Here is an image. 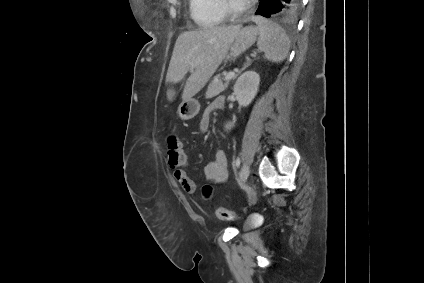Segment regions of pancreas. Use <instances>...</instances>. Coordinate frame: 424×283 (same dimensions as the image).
I'll return each mask as SVG.
<instances>
[{"label":"pancreas","instance_id":"1","mask_svg":"<svg viewBox=\"0 0 424 283\" xmlns=\"http://www.w3.org/2000/svg\"><path fill=\"white\" fill-rule=\"evenodd\" d=\"M227 86H228V82L223 83L221 79H219V77H215L208 86V89L206 92V99H211L219 95L220 93L225 91Z\"/></svg>","mask_w":424,"mask_h":283}]
</instances>
